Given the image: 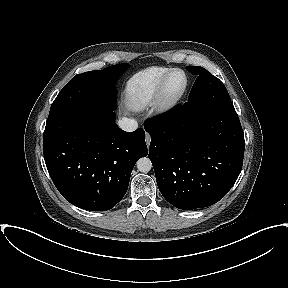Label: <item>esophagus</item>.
<instances>
[{"label":"esophagus","mask_w":288,"mask_h":288,"mask_svg":"<svg viewBox=\"0 0 288 288\" xmlns=\"http://www.w3.org/2000/svg\"><path fill=\"white\" fill-rule=\"evenodd\" d=\"M145 141H146L147 145L149 146V144L151 142V137L148 133L145 134Z\"/></svg>","instance_id":"obj_1"}]
</instances>
